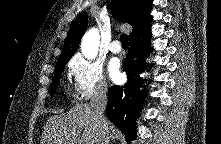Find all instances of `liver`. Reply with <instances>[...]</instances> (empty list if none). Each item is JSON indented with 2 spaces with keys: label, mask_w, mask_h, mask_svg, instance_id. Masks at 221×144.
Instances as JSON below:
<instances>
[{
  "label": "liver",
  "mask_w": 221,
  "mask_h": 144,
  "mask_svg": "<svg viewBox=\"0 0 221 144\" xmlns=\"http://www.w3.org/2000/svg\"><path fill=\"white\" fill-rule=\"evenodd\" d=\"M99 131L90 105L76 104L66 113L49 117L41 144H98Z\"/></svg>",
  "instance_id": "liver-1"
}]
</instances>
